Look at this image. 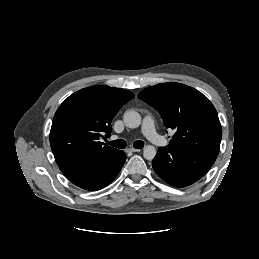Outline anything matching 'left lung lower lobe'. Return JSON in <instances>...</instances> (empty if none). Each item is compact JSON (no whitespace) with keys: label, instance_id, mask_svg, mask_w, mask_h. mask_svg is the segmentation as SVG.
I'll return each mask as SVG.
<instances>
[{"label":"left lung lower lobe","instance_id":"obj_1","mask_svg":"<svg viewBox=\"0 0 259 259\" xmlns=\"http://www.w3.org/2000/svg\"><path fill=\"white\" fill-rule=\"evenodd\" d=\"M216 158L217 155L211 153H183L167 146L158 148L152 166L159 177L168 184L186 187L203 177Z\"/></svg>","mask_w":259,"mask_h":259}]
</instances>
